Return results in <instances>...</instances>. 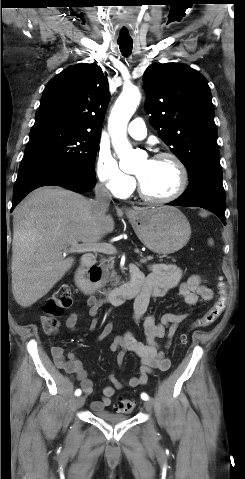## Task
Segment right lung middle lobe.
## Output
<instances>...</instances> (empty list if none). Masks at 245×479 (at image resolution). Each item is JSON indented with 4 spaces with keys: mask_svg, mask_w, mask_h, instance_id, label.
<instances>
[{
    "mask_svg": "<svg viewBox=\"0 0 245 479\" xmlns=\"http://www.w3.org/2000/svg\"><path fill=\"white\" fill-rule=\"evenodd\" d=\"M100 135L61 126L33 127L19 171L59 165L95 176Z\"/></svg>",
    "mask_w": 245,
    "mask_h": 479,
    "instance_id": "right-lung-middle-lobe-1",
    "label": "right lung middle lobe"
}]
</instances>
